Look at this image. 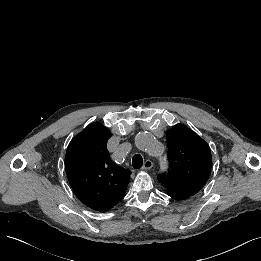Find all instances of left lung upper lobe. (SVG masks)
Wrapping results in <instances>:
<instances>
[{
    "label": "left lung upper lobe",
    "mask_w": 261,
    "mask_h": 261,
    "mask_svg": "<svg viewBox=\"0 0 261 261\" xmlns=\"http://www.w3.org/2000/svg\"><path fill=\"white\" fill-rule=\"evenodd\" d=\"M170 170L158 175L159 182L171 196L188 198L205 185L211 170L208 144L183 124L166 132Z\"/></svg>",
    "instance_id": "1"
}]
</instances>
